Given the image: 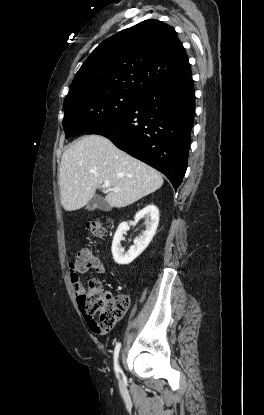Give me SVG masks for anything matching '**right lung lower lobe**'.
<instances>
[{
  "mask_svg": "<svg viewBox=\"0 0 264 415\" xmlns=\"http://www.w3.org/2000/svg\"><path fill=\"white\" fill-rule=\"evenodd\" d=\"M194 113L189 75L149 90L129 111L87 134L107 137L119 149L162 172L177 188L187 169Z\"/></svg>",
  "mask_w": 264,
  "mask_h": 415,
  "instance_id": "right-lung-lower-lobe-1",
  "label": "right lung lower lobe"
}]
</instances>
